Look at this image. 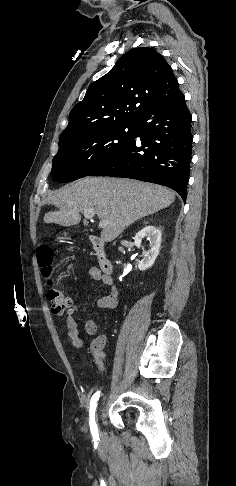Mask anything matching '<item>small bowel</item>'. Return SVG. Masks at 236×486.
<instances>
[{"mask_svg":"<svg viewBox=\"0 0 236 486\" xmlns=\"http://www.w3.org/2000/svg\"><path fill=\"white\" fill-rule=\"evenodd\" d=\"M89 274L94 281L102 282L109 289V294L99 298L96 302L97 306L102 309H114L118 304V288L114 284L113 278L110 275L103 274L97 267H92ZM78 311L77 306H73L66 312L67 334L72 341L74 347L80 349L83 347V341L79 337L78 325L75 314ZM85 331L88 335H94L97 332V324L94 320H88L85 323ZM106 342L105 336H99L91 343V350L97 352L103 348ZM101 371L104 370L102 365L99 366Z\"/></svg>","mask_w":236,"mask_h":486,"instance_id":"obj_1","label":"small bowel"}]
</instances>
